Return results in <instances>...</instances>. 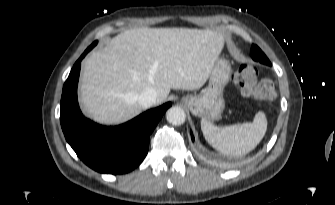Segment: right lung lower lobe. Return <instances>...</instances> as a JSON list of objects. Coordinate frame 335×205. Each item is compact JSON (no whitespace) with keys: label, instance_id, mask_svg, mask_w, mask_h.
I'll return each mask as SVG.
<instances>
[{"label":"right lung lower lobe","instance_id":"1","mask_svg":"<svg viewBox=\"0 0 335 205\" xmlns=\"http://www.w3.org/2000/svg\"><path fill=\"white\" fill-rule=\"evenodd\" d=\"M91 49L88 47L76 61L64 83L60 103L61 127L67 142L90 168L101 173H127L145 158L150 134L171 103L115 127L101 126L86 119L79 109L77 84L81 60Z\"/></svg>","mask_w":335,"mask_h":205}]
</instances>
